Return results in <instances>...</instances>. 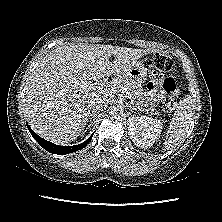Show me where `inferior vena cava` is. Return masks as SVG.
<instances>
[{
  "label": "inferior vena cava",
  "mask_w": 222,
  "mask_h": 222,
  "mask_svg": "<svg viewBox=\"0 0 222 222\" xmlns=\"http://www.w3.org/2000/svg\"><path fill=\"white\" fill-rule=\"evenodd\" d=\"M108 105V100L106 97H97L94 101H92L90 105V111L93 114H98L105 110Z\"/></svg>",
  "instance_id": "inferior-vena-cava-1"
}]
</instances>
